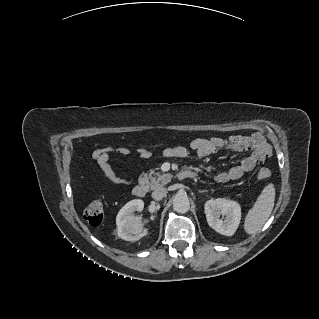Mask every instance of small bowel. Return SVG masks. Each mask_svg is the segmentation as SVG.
Segmentation results:
<instances>
[{"mask_svg": "<svg viewBox=\"0 0 319 319\" xmlns=\"http://www.w3.org/2000/svg\"><path fill=\"white\" fill-rule=\"evenodd\" d=\"M268 150V152H267ZM131 152L127 145H111L96 149L92 157L97 162L102 174L115 185H125L126 180L113 168L110 160L113 154L127 156ZM221 152H250L238 165L215 175L218 183H226L240 179L245 173L251 172L262 164L269 155V149L263 136L255 133L249 136H230L228 138L214 137L210 139L195 138L187 146H175L165 149L164 156L168 158H185L194 153L198 158H206ZM140 159L148 160L151 151L141 147L137 150Z\"/></svg>", "mask_w": 319, "mask_h": 319, "instance_id": "c3829d8e", "label": "small bowel"}]
</instances>
